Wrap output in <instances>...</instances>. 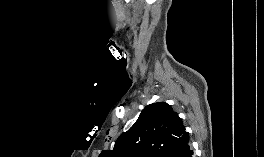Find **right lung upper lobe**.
I'll return each mask as SVG.
<instances>
[{
	"label": "right lung upper lobe",
	"mask_w": 264,
	"mask_h": 157,
	"mask_svg": "<svg viewBox=\"0 0 264 157\" xmlns=\"http://www.w3.org/2000/svg\"><path fill=\"white\" fill-rule=\"evenodd\" d=\"M189 142L182 119L166 102L147 105L117 139L109 157H174Z\"/></svg>",
	"instance_id": "1"
}]
</instances>
